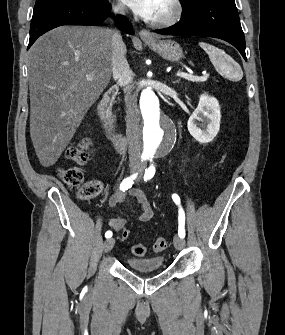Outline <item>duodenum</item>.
<instances>
[{
    "label": "duodenum",
    "mask_w": 285,
    "mask_h": 335,
    "mask_svg": "<svg viewBox=\"0 0 285 335\" xmlns=\"http://www.w3.org/2000/svg\"><path fill=\"white\" fill-rule=\"evenodd\" d=\"M118 93V87L112 86L102 97L98 105V118L100 125L114 148L119 152H124L127 145L126 137L118 128L117 121L113 115V102Z\"/></svg>",
    "instance_id": "1"
}]
</instances>
